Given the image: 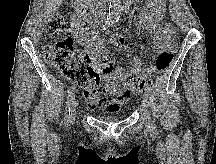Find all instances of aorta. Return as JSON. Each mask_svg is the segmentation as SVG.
<instances>
[{
	"label": "aorta",
	"instance_id": "obj_1",
	"mask_svg": "<svg viewBox=\"0 0 216 164\" xmlns=\"http://www.w3.org/2000/svg\"><path fill=\"white\" fill-rule=\"evenodd\" d=\"M110 3V15L118 17L120 14V0H108Z\"/></svg>",
	"mask_w": 216,
	"mask_h": 164
}]
</instances>
